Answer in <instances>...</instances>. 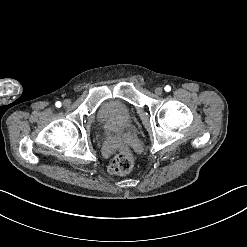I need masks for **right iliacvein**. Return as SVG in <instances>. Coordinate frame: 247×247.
Wrapping results in <instances>:
<instances>
[{
	"instance_id": "obj_1",
	"label": "right iliac vein",
	"mask_w": 247,
	"mask_h": 247,
	"mask_svg": "<svg viewBox=\"0 0 247 247\" xmlns=\"http://www.w3.org/2000/svg\"><path fill=\"white\" fill-rule=\"evenodd\" d=\"M70 104H71V102H70V100H68V99H66V100L63 101V105H64V107H66V108H68V107L70 106Z\"/></svg>"
}]
</instances>
